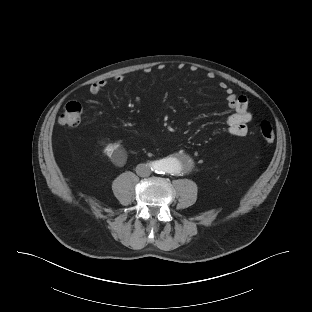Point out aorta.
<instances>
[{"label":"aorta","instance_id":"obj_1","mask_svg":"<svg viewBox=\"0 0 312 312\" xmlns=\"http://www.w3.org/2000/svg\"><path fill=\"white\" fill-rule=\"evenodd\" d=\"M186 162V158L168 157L161 160L159 170L166 174H178Z\"/></svg>","mask_w":312,"mask_h":312}]
</instances>
